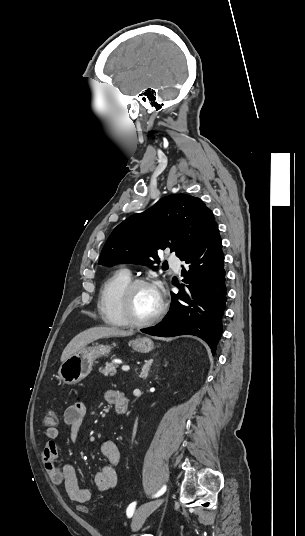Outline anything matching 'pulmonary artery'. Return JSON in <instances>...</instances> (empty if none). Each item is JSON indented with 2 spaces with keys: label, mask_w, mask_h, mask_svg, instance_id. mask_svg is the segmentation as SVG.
I'll use <instances>...</instances> for the list:
<instances>
[{
  "label": "pulmonary artery",
  "mask_w": 305,
  "mask_h": 536,
  "mask_svg": "<svg viewBox=\"0 0 305 536\" xmlns=\"http://www.w3.org/2000/svg\"><path fill=\"white\" fill-rule=\"evenodd\" d=\"M169 260H170V264H171V266L173 267V269H174L176 272H179V270H180V262L177 261V260H178L177 255H175V254L170 255ZM122 270H123L125 273L131 275V272H130L129 269L124 268V269H122Z\"/></svg>",
  "instance_id": "pulmonary-artery-1"
}]
</instances>
